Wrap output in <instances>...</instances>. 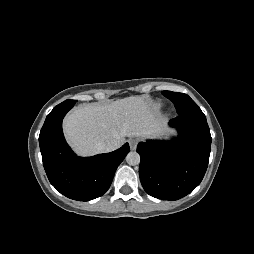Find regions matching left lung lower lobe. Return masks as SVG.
Listing matches in <instances>:
<instances>
[{"label": "left lung lower lobe", "instance_id": "obj_1", "mask_svg": "<svg viewBox=\"0 0 254 254\" xmlns=\"http://www.w3.org/2000/svg\"><path fill=\"white\" fill-rule=\"evenodd\" d=\"M178 137L171 141L140 142L139 175L152 197L178 200L202 181L209 162L211 135L206 117L180 115L169 122Z\"/></svg>", "mask_w": 254, "mask_h": 254}]
</instances>
